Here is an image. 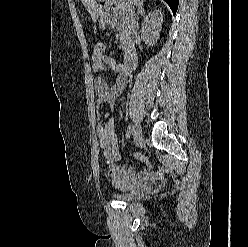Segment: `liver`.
Masks as SVG:
<instances>
[{
    "label": "liver",
    "mask_w": 248,
    "mask_h": 247,
    "mask_svg": "<svg viewBox=\"0 0 248 247\" xmlns=\"http://www.w3.org/2000/svg\"><path fill=\"white\" fill-rule=\"evenodd\" d=\"M111 5H114L117 11L122 15L125 14L128 1L132 2L134 5L142 3L143 0H108ZM82 4L85 6L89 12L92 21L95 23L99 16L102 15V6L96 3V0H81Z\"/></svg>",
    "instance_id": "obj_1"
}]
</instances>
